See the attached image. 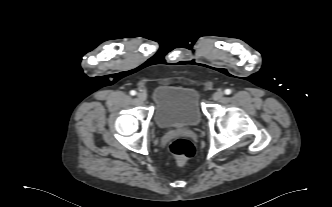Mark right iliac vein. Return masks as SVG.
<instances>
[{"mask_svg": "<svg viewBox=\"0 0 332 207\" xmlns=\"http://www.w3.org/2000/svg\"><path fill=\"white\" fill-rule=\"evenodd\" d=\"M137 98H138V100H140V101H145L146 99H147V95H146V93H144V92H139L138 94H137Z\"/></svg>", "mask_w": 332, "mask_h": 207, "instance_id": "right-iliac-vein-1", "label": "right iliac vein"}]
</instances>
